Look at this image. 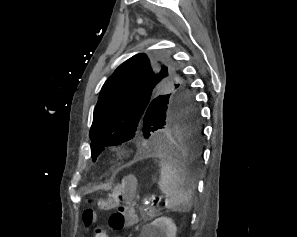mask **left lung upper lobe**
<instances>
[{
    "mask_svg": "<svg viewBox=\"0 0 297 237\" xmlns=\"http://www.w3.org/2000/svg\"><path fill=\"white\" fill-rule=\"evenodd\" d=\"M180 101L195 99L173 61L163 55L136 54L104 83L94 109L89 137L93 161L106 146L131 141L140 153Z\"/></svg>",
    "mask_w": 297,
    "mask_h": 237,
    "instance_id": "obj_1",
    "label": "left lung upper lobe"
}]
</instances>
